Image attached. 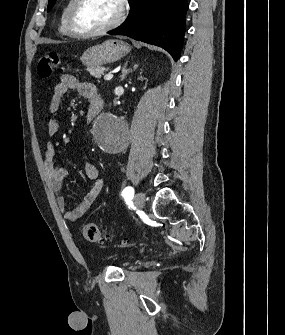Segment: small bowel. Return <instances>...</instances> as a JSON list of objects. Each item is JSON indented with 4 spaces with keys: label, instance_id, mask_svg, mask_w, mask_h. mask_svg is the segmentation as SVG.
Returning a JSON list of instances; mask_svg holds the SVG:
<instances>
[{
    "label": "small bowel",
    "instance_id": "c3829d8e",
    "mask_svg": "<svg viewBox=\"0 0 285 335\" xmlns=\"http://www.w3.org/2000/svg\"><path fill=\"white\" fill-rule=\"evenodd\" d=\"M70 90H75L80 96L87 99L90 104L101 99L96 87L90 83L79 82L74 76L63 74L60 81L55 85L49 104V111L53 114L60 109L62 101ZM60 125L56 119H50L47 124L49 136H55L59 131ZM44 164L48 181L56 194V203L63 218L68 222H74L81 218L93 202L98 198L103 189V180L99 178V170L96 165L88 163L84 167L86 176L95 180L93 186L84 196L82 201L73 210H68L66 201L61 193L62 184L65 179V170L57 163L55 148L52 143H47L44 148Z\"/></svg>",
    "mask_w": 285,
    "mask_h": 335
}]
</instances>
